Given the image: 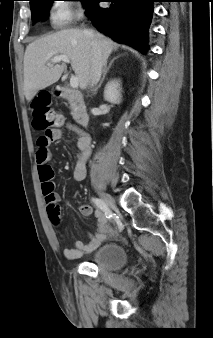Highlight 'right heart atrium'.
Segmentation results:
<instances>
[{
  "label": "right heart atrium",
  "mask_w": 213,
  "mask_h": 338,
  "mask_svg": "<svg viewBox=\"0 0 213 338\" xmlns=\"http://www.w3.org/2000/svg\"><path fill=\"white\" fill-rule=\"evenodd\" d=\"M74 10L67 4H61L53 10V21L56 24H64L74 17Z\"/></svg>",
  "instance_id": "right-heart-atrium-1"
}]
</instances>
